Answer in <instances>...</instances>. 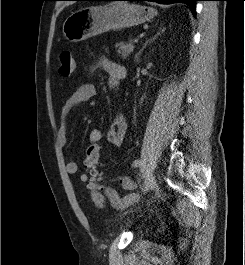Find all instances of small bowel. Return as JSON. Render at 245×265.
<instances>
[{
    "mask_svg": "<svg viewBox=\"0 0 245 265\" xmlns=\"http://www.w3.org/2000/svg\"><path fill=\"white\" fill-rule=\"evenodd\" d=\"M100 67L106 71L109 76V86L111 89H116L119 82L126 76V70L120 64L111 61L107 58H101L92 68ZM96 94V88L91 83H83L77 86L70 97L67 99L62 107L60 115V126L57 133V139L61 147H65L67 143V126L68 117L70 114L79 108L82 104L89 101ZM127 129V123L122 115H118L112 122L110 129L107 133V140L114 146H120L124 140ZM103 138V132L100 129H93L89 134L90 144L99 145ZM66 172L70 175H74L78 172V165L74 161H70L66 164ZM81 182H88L89 177L86 173L79 175ZM120 183L123 189L133 191L136 189V184L127 176H119L115 179ZM103 195L108 199L111 206L115 209H122L139 201V195L136 193H130L124 197H121L118 192L110 187H102Z\"/></svg>",
    "mask_w": 245,
    "mask_h": 265,
    "instance_id": "small-bowel-1",
    "label": "small bowel"
}]
</instances>
